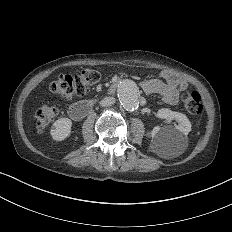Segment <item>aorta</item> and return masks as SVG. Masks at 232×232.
Masks as SVG:
<instances>
[{"label": "aorta", "instance_id": "762f6f07", "mask_svg": "<svg viewBox=\"0 0 232 232\" xmlns=\"http://www.w3.org/2000/svg\"><path fill=\"white\" fill-rule=\"evenodd\" d=\"M117 92L119 100L126 110L134 111L138 108V88L133 81H122L118 86Z\"/></svg>", "mask_w": 232, "mask_h": 232}]
</instances>
